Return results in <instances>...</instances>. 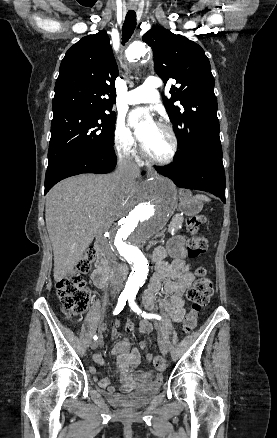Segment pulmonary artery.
Masks as SVG:
<instances>
[{"mask_svg": "<svg viewBox=\"0 0 277 438\" xmlns=\"http://www.w3.org/2000/svg\"><path fill=\"white\" fill-rule=\"evenodd\" d=\"M159 77L161 76H148L146 81L142 83V87H131L128 98L129 104L158 102L161 94L156 90H162L165 86H171L173 82L172 80H167L166 84L161 85L158 82Z\"/></svg>", "mask_w": 277, "mask_h": 438, "instance_id": "pulmonary-artery-1", "label": "pulmonary artery"}]
</instances>
